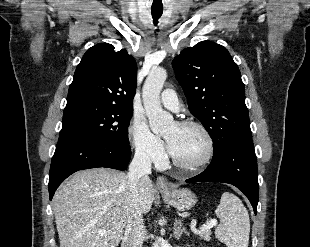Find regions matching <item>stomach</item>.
Returning a JSON list of instances; mask_svg holds the SVG:
<instances>
[{"instance_id": "obj_1", "label": "stomach", "mask_w": 310, "mask_h": 247, "mask_svg": "<svg viewBox=\"0 0 310 247\" xmlns=\"http://www.w3.org/2000/svg\"><path fill=\"white\" fill-rule=\"evenodd\" d=\"M164 200L179 211L190 210L197 202L195 194L186 188L161 191Z\"/></svg>"}]
</instances>
